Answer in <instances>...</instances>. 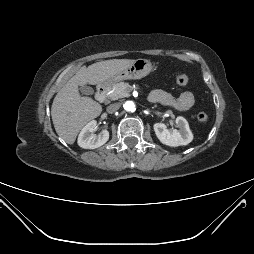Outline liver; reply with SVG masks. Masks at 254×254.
Listing matches in <instances>:
<instances>
[{"label": "liver", "instance_id": "liver-1", "mask_svg": "<svg viewBox=\"0 0 254 254\" xmlns=\"http://www.w3.org/2000/svg\"><path fill=\"white\" fill-rule=\"evenodd\" d=\"M135 60L111 59L81 67L56 94L51 107L56 133L68 144H73L81 128L98 117L102 106L90 97H82L79 86L101 84L131 66Z\"/></svg>", "mask_w": 254, "mask_h": 254}]
</instances>
